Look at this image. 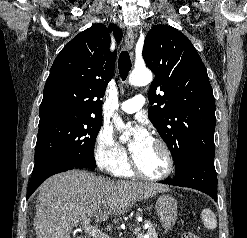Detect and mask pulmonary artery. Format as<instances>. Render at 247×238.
Returning <instances> with one entry per match:
<instances>
[{
  "instance_id": "1",
  "label": "pulmonary artery",
  "mask_w": 247,
  "mask_h": 238,
  "mask_svg": "<svg viewBox=\"0 0 247 238\" xmlns=\"http://www.w3.org/2000/svg\"><path fill=\"white\" fill-rule=\"evenodd\" d=\"M144 104H145L144 96L136 95L133 98L122 102L120 105V110L127 114H133L139 111L140 109H142Z\"/></svg>"
}]
</instances>
